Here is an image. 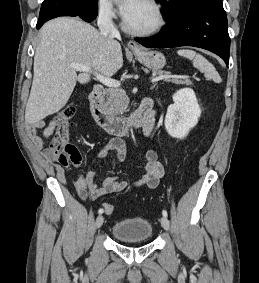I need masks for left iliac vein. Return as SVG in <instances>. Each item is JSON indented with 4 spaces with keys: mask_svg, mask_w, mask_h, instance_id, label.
Returning a JSON list of instances; mask_svg holds the SVG:
<instances>
[{
    "mask_svg": "<svg viewBox=\"0 0 259 283\" xmlns=\"http://www.w3.org/2000/svg\"><path fill=\"white\" fill-rule=\"evenodd\" d=\"M160 222H161V225L162 227L168 231L169 230V221L166 217L162 216L161 219H160Z\"/></svg>",
    "mask_w": 259,
    "mask_h": 283,
    "instance_id": "1",
    "label": "left iliac vein"
}]
</instances>
